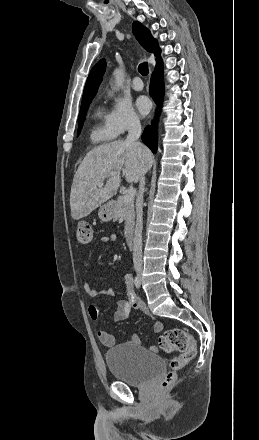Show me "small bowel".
Instances as JSON below:
<instances>
[{"instance_id":"small-bowel-1","label":"small bowel","mask_w":259,"mask_h":440,"mask_svg":"<svg viewBox=\"0 0 259 440\" xmlns=\"http://www.w3.org/2000/svg\"><path fill=\"white\" fill-rule=\"evenodd\" d=\"M117 236L115 234L110 235L109 237H102L100 239L101 242L105 243L108 241H116ZM124 283H125V289H126V295L127 300H118L116 301V309L114 312V320L115 321H121L128 317L131 310H140L147 316L151 317V314L148 310V308L144 305V303L136 296L134 288H133V279L130 274H126L124 276ZM83 289L85 293L91 297L96 298L100 295L103 296H113L114 291L111 288L98 290L95 288H92L90 284L86 281L83 282ZM89 316L91 319L96 320L100 313V308L96 303H91L88 308ZM153 330L155 332H160L163 329V324L160 321L153 320ZM97 337L99 341L106 347H112L115 343L114 337L111 333L100 330L97 332ZM140 337L138 334H132L130 337V340L128 341L129 344L132 345H139L140 344ZM152 351H157V348L155 346L151 347Z\"/></svg>"}]
</instances>
